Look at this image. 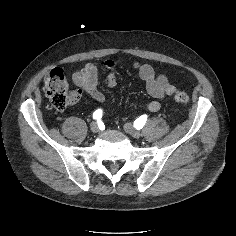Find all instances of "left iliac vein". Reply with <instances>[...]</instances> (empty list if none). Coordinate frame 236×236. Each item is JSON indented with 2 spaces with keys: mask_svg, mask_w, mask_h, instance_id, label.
<instances>
[{
  "mask_svg": "<svg viewBox=\"0 0 236 236\" xmlns=\"http://www.w3.org/2000/svg\"><path fill=\"white\" fill-rule=\"evenodd\" d=\"M124 130L134 138H139L141 136V132L135 129L130 123L124 124Z\"/></svg>",
  "mask_w": 236,
  "mask_h": 236,
  "instance_id": "left-iliac-vein-1",
  "label": "left iliac vein"
}]
</instances>
